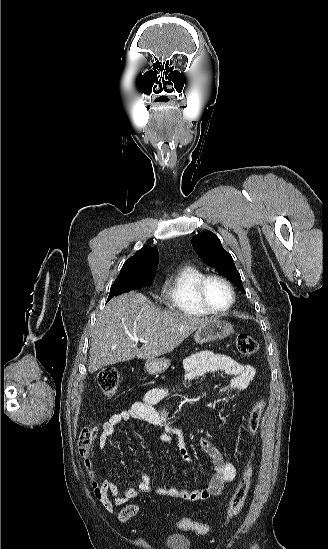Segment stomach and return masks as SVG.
<instances>
[{
	"instance_id": "obj_1",
	"label": "stomach",
	"mask_w": 328,
	"mask_h": 549,
	"mask_svg": "<svg viewBox=\"0 0 328 549\" xmlns=\"http://www.w3.org/2000/svg\"><path fill=\"white\" fill-rule=\"evenodd\" d=\"M234 333V327L228 321L222 319H209L206 325L199 327L194 335V341L198 345L202 343H210V341H218L225 339L228 335ZM170 367L169 359H148L145 363V371L149 375H160Z\"/></svg>"
}]
</instances>
